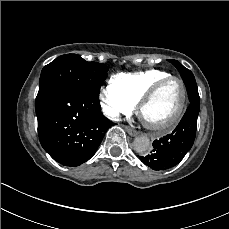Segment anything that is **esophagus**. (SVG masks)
<instances>
[{
	"mask_svg": "<svg viewBox=\"0 0 229 229\" xmlns=\"http://www.w3.org/2000/svg\"><path fill=\"white\" fill-rule=\"evenodd\" d=\"M124 129H125V130L127 131V133H128L130 136H132V137H135V136L138 134V132H137L135 129H133V128L127 126V125L124 126Z\"/></svg>",
	"mask_w": 229,
	"mask_h": 229,
	"instance_id": "34e87169",
	"label": "esophagus"
}]
</instances>
